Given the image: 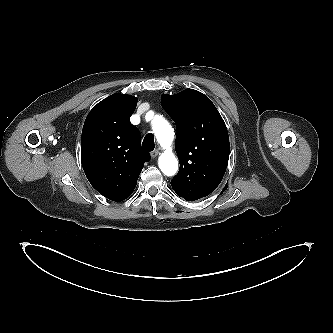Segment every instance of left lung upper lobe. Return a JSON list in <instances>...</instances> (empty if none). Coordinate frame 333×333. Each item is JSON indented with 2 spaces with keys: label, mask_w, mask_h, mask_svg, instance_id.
Returning <instances> with one entry per match:
<instances>
[{
  "label": "left lung upper lobe",
  "mask_w": 333,
  "mask_h": 333,
  "mask_svg": "<svg viewBox=\"0 0 333 333\" xmlns=\"http://www.w3.org/2000/svg\"><path fill=\"white\" fill-rule=\"evenodd\" d=\"M162 107L176 122L178 174L171 180L175 193L195 201L220 184L229 159V136L218 110L204 94L186 89L162 95Z\"/></svg>",
  "instance_id": "obj_1"
}]
</instances>
